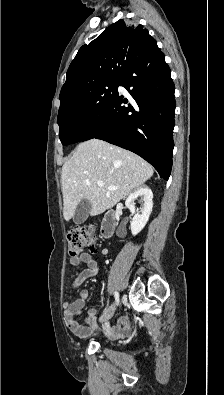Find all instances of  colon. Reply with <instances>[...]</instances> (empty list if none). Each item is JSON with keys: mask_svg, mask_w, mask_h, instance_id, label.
<instances>
[{"mask_svg": "<svg viewBox=\"0 0 224 395\" xmlns=\"http://www.w3.org/2000/svg\"><path fill=\"white\" fill-rule=\"evenodd\" d=\"M95 242L93 230L85 227L70 230L66 239L68 252L72 258L77 257L85 247H93Z\"/></svg>", "mask_w": 224, "mask_h": 395, "instance_id": "5ec220e1", "label": "colon"}]
</instances>
